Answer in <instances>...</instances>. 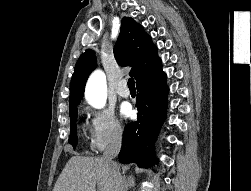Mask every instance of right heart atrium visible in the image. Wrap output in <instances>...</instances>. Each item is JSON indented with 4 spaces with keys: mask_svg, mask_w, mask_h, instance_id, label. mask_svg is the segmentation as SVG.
Masks as SVG:
<instances>
[{
    "mask_svg": "<svg viewBox=\"0 0 251 191\" xmlns=\"http://www.w3.org/2000/svg\"><path fill=\"white\" fill-rule=\"evenodd\" d=\"M88 113L90 146L93 151L101 152L121 141L123 129L111 110L88 109Z\"/></svg>",
    "mask_w": 251,
    "mask_h": 191,
    "instance_id": "d8ad5b80",
    "label": "right heart atrium"
}]
</instances>
